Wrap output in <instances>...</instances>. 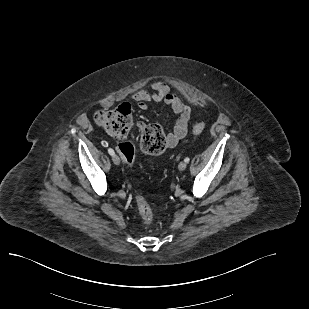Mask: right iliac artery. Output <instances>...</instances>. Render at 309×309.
Here are the masks:
<instances>
[{
	"label": "right iliac artery",
	"mask_w": 309,
	"mask_h": 309,
	"mask_svg": "<svg viewBox=\"0 0 309 309\" xmlns=\"http://www.w3.org/2000/svg\"><path fill=\"white\" fill-rule=\"evenodd\" d=\"M108 153L111 155V156H113L115 153H114V150L112 149V148H109L108 149Z\"/></svg>",
	"instance_id": "82829eb1"
}]
</instances>
